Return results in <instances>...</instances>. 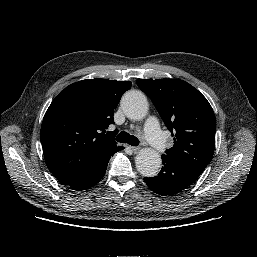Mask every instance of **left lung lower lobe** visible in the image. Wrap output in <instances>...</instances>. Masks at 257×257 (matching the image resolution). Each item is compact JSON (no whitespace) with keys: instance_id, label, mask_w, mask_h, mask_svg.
Instances as JSON below:
<instances>
[{"instance_id":"1","label":"left lung lower lobe","mask_w":257,"mask_h":257,"mask_svg":"<svg viewBox=\"0 0 257 257\" xmlns=\"http://www.w3.org/2000/svg\"><path fill=\"white\" fill-rule=\"evenodd\" d=\"M163 167L159 174L144 178L148 187L159 195L176 194L194 183L201 172L178 160L162 155Z\"/></svg>"}]
</instances>
